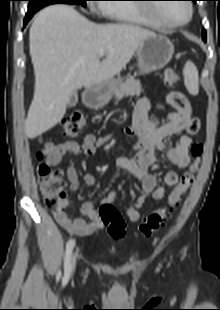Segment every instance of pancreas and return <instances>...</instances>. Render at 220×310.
Returning a JSON list of instances; mask_svg holds the SVG:
<instances>
[{"instance_id":"pancreas-1","label":"pancreas","mask_w":220,"mask_h":310,"mask_svg":"<svg viewBox=\"0 0 220 310\" xmlns=\"http://www.w3.org/2000/svg\"><path fill=\"white\" fill-rule=\"evenodd\" d=\"M142 92L141 84L139 80L133 77H128L125 82L121 83L119 87L114 91L116 101L121 100L125 96L140 95Z\"/></svg>"}]
</instances>
